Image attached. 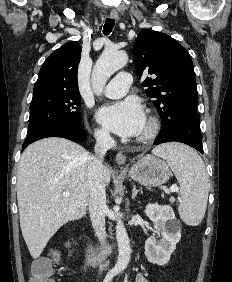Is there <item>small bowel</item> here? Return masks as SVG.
Masks as SVG:
<instances>
[{
  "label": "small bowel",
  "mask_w": 232,
  "mask_h": 282,
  "mask_svg": "<svg viewBox=\"0 0 232 282\" xmlns=\"http://www.w3.org/2000/svg\"><path fill=\"white\" fill-rule=\"evenodd\" d=\"M135 282H149L142 273H138Z\"/></svg>",
  "instance_id": "small-bowel-1"
}]
</instances>
